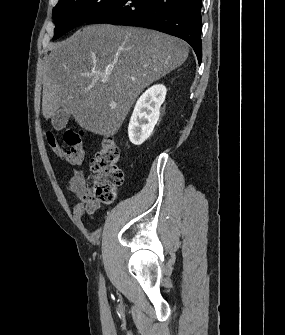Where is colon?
<instances>
[{
  "label": "colon",
  "mask_w": 285,
  "mask_h": 335,
  "mask_svg": "<svg viewBox=\"0 0 285 335\" xmlns=\"http://www.w3.org/2000/svg\"><path fill=\"white\" fill-rule=\"evenodd\" d=\"M45 136L49 147L57 156L71 165H80L83 162L85 150L82 131L70 129L64 133V142L68 149L59 144L52 132H46ZM119 158V146L113 139L106 138L91 160L88 182L93 198L100 203H112L123 183V172L118 166Z\"/></svg>",
  "instance_id": "5ec220e1"
}]
</instances>
